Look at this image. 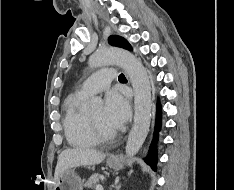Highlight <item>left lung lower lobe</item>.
<instances>
[{"label": "left lung lower lobe", "instance_id": "obj_1", "mask_svg": "<svg viewBox=\"0 0 234 190\" xmlns=\"http://www.w3.org/2000/svg\"><path fill=\"white\" fill-rule=\"evenodd\" d=\"M160 126H161V107H160V104L158 103L154 138L149 148L148 155L145 158V161L147 162V164H149L152 167L153 170H156L157 154H156L155 144L157 143V140H158V133L160 130Z\"/></svg>", "mask_w": 234, "mask_h": 190}]
</instances>
